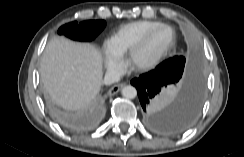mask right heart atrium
I'll return each mask as SVG.
<instances>
[{
  "mask_svg": "<svg viewBox=\"0 0 244 157\" xmlns=\"http://www.w3.org/2000/svg\"><path fill=\"white\" fill-rule=\"evenodd\" d=\"M105 63L110 70H118L121 67V58L111 48L109 43L104 45Z\"/></svg>",
  "mask_w": 244,
  "mask_h": 157,
  "instance_id": "d8ad5b80",
  "label": "right heart atrium"
}]
</instances>
